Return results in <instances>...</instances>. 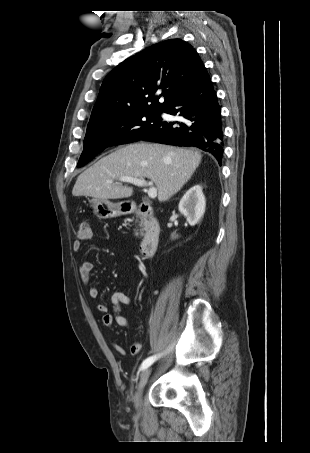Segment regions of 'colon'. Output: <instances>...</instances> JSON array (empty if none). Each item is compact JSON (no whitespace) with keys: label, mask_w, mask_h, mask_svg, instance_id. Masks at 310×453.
Returning <instances> with one entry per match:
<instances>
[{"label":"colon","mask_w":310,"mask_h":453,"mask_svg":"<svg viewBox=\"0 0 310 453\" xmlns=\"http://www.w3.org/2000/svg\"><path fill=\"white\" fill-rule=\"evenodd\" d=\"M91 236V228L87 223H81L79 227V237L81 239H87Z\"/></svg>","instance_id":"colon-1"}]
</instances>
